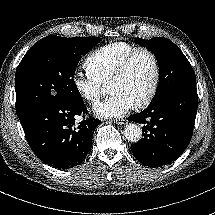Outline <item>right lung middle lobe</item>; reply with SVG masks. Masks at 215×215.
<instances>
[{"instance_id": "right-lung-middle-lobe-1", "label": "right lung middle lobe", "mask_w": 215, "mask_h": 215, "mask_svg": "<svg viewBox=\"0 0 215 215\" xmlns=\"http://www.w3.org/2000/svg\"><path fill=\"white\" fill-rule=\"evenodd\" d=\"M100 41L99 37L50 35L33 45L16 70L17 113L46 100L83 102L74 81L75 69L81 56Z\"/></svg>"}]
</instances>
